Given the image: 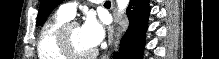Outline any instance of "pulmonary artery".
Segmentation results:
<instances>
[{"instance_id":"obj_1","label":"pulmonary artery","mask_w":219,"mask_h":59,"mask_svg":"<svg viewBox=\"0 0 219 59\" xmlns=\"http://www.w3.org/2000/svg\"><path fill=\"white\" fill-rule=\"evenodd\" d=\"M77 6H78V2L76 1L68 2L61 5L58 11L71 19L75 16Z\"/></svg>"}]
</instances>
